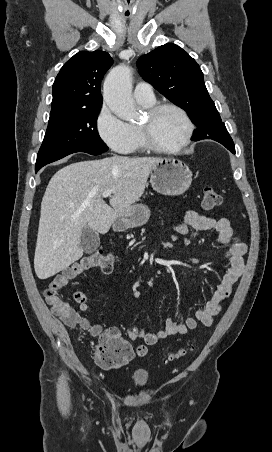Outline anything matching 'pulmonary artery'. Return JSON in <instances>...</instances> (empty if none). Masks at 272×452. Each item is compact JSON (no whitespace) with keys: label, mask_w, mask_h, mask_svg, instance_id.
Masks as SVG:
<instances>
[{"label":"pulmonary artery","mask_w":272,"mask_h":452,"mask_svg":"<svg viewBox=\"0 0 272 452\" xmlns=\"http://www.w3.org/2000/svg\"><path fill=\"white\" fill-rule=\"evenodd\" d=\"M134 97L138 102L154 103L155 96L152 86L149 83L140 82L135 86Z\"/></svg>","instance_id":"obj_1"}]
</instances>
